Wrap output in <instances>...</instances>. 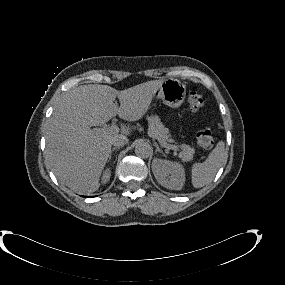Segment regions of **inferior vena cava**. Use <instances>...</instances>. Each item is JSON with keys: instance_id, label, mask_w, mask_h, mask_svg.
Returning <instances> with one entry per match:
<instances>
[{"instance_id": "obj_1", "label": "inferior vena cava", "mask_w": 285, "mask_h": 285, "mask_svg": "<svg viewBox=\"0 0 285 285\" xmlns=\"http://www.w3.org/2000/svg\"><path fill=\"white\" fill-rule=\"evenodd\" d=\"M127 143H128V138L124 135H118L112 141V144L114 146H123Z\"/></svg>"}]
</instances>
